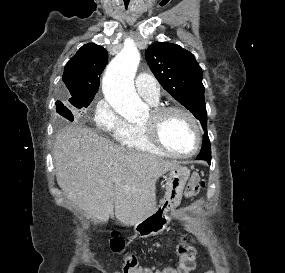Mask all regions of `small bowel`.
Returning <instances> with one entry per match:
<instances>
[{"instance_id":"1","label":"small bowel","mask_w":285,"mask_h":273,"mask_svg":"<svg viewBox=\"0 0 285 273\" xmlns=\"http://www.w3.org/2000/svg\"><path fill=\"white\" fill-rule=\"evenodd\" d=\"M152 273H174L173 267H164L162 269L152 270ZM205 273H214L213 271H207Z\"/></svg>"}]
</instances>
